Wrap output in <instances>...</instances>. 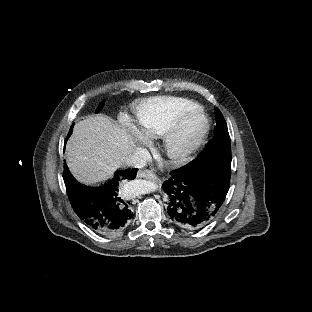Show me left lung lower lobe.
<instances>
[{
    "mask_svg": "<svg viewBox=\"0 0 312 312\" xmlns=\"http://www.w3.org/2000/svg\"><path fill=\"white\" fill-rule=\"evenodd\" d=\"M170 174L163 184L169 220L184 229H202L217 216L229 190L231 156L193 160Z\"/></svg>",
    "mask_w": 312,
    "mask_h": 312,
    "instance_id": "obj_1",
    "label": "left lung lower lobe"
}]
</instances>
